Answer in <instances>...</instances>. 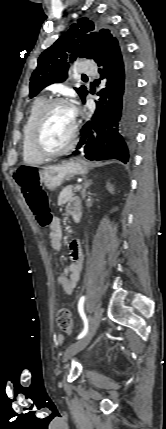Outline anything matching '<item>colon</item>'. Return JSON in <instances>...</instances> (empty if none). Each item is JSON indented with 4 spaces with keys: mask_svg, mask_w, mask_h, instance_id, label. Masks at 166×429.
Instances as JSON below:
<instances>
[{
    "mask_svg": "<svg viewBox=\"0 0 166 429\" xmlns=\"http://www.w3.org/2000/svg\"><path fill=\"white\" fill-rule=\"evenodd\" d=\"M14 180L38 223L41 226L49 225L52 216L48 197L40 183L39 168L34 165H23L14 173ZM57 324L63 332L73 334V319L67 308L58 311Z\"/></svg>",
    "mask_w": 166,
    "mask_h": 429,
    "instance_id": "obj_1",
    "label": "colon"
}]
</instances>
